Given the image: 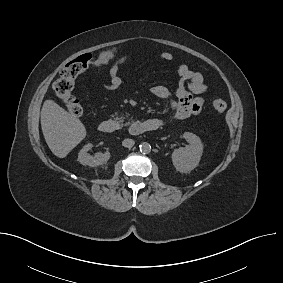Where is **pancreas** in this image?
I'll use <instances>...</instances> for the list:
<instances>
[{
	"instance_id": "pancreas-1",
	"label": "pancreas",
	"mask_w": 283,
	"mask_h": 283,
	"mask_svg": "<svg viewBox=\"0 0 283 283\" xmlns=\"http://www.w3.org/2000/svg\"><path fill=\"white\" fill-rule=\"evenodd\" d=\"M116 120L120 123L121 126H123V124H122L123 123V119L122 118H118L117 117ZM125 125H129V122L126 123Z\"/></svg>"
}]
</instances>
